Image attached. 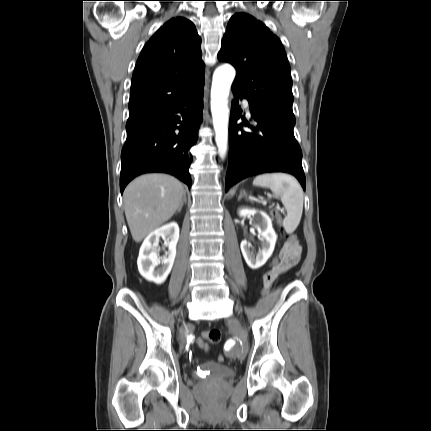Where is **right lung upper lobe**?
Listing matches in <instances>:
<instances>
[{
	"label": "right lung upper lobe",
	"mask_w": 431,
	"mask_h": 431,
	"mask_svg": "<svg viewBox=\"0 0 431 431\" xmlns=\"http://www.w3.org/2000/svg\"><path fill=\"white\" fill-rule=\"evenodd\" d=\"M200 42L185 18H173L157 30L134 69L129 116L170 105L204 82Z\"/></svg>",
	"instance_id": "cb5924a9"
}]
</instances>
